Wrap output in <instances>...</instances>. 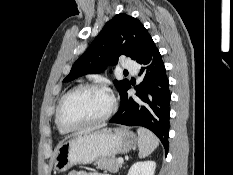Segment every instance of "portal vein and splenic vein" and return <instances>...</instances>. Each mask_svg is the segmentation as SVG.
I'll list each match as a JSON object with an SVG mask.
<instances>
[{
    "label": "portal vein and splenic vein",
    "mask_w": 233,
    "mask_h": 175,
    "mask_svg": "<svg viewBox=\"0 0 233 175\" xmlns=\"http://www.w3.org/2000/svg\"><path fill=\"white\" fill-rule=\"evenodd\" d=\"M118 163L122 164L124 162L123 158H118L117 159Z\"/></svg>",
    "instance_id": "obj_1"
}]
</instances>
